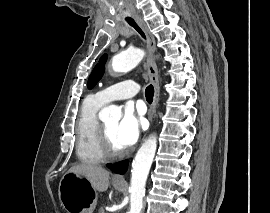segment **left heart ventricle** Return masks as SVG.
I'll return each mask as SVG.
<instances>
[{"label": "left heart ventricle", "mask_w": 270, "mask_h": 213, "mask_svg": "<svg viewBox=\"0 0 270 213\" xmlns=\"http://www.w3.org/2000/svg\"><path fill=\"white\" fill-rule=\"evenodd\" d=\"M102 124L104 125V127L107 131V134H108V137L110 139L112 146L116 150H122V147L116 138V129L118 126V121L112 120V121L103 122Z\"/></svg>", "instance_id": "b2bd125f"}]
</instances>
